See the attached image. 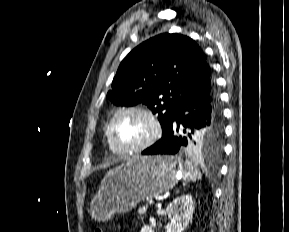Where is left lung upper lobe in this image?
<instances>
[{"instance_id": "5c2ea615", "label": "left lung upper lobe", "mask_w": 289, "mask_h": 232, "mask_svg": "<svg viewBox=\"0 0 289 232\" xmlns=\"http://www.w3.org/2000/svg\"><path fill=\"white\" fill-rule=\"evenodd\" d=\"M206 63L201 48L189 37L164 33L134 48L121 62L108 97L116 105L146 104L158 114L163 134L174 115L178 100ZM223 123L196 134L187 152L221 151Z\"/></svg>"}]
</instances>
